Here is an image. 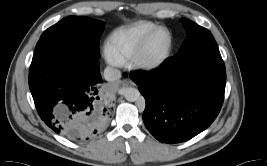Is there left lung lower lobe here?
I'll use <instances>...</instances> for the list:
<instances>
[{
	"label": "left lung lower lobe",
	"mask_w": 267,
	"mask_h": 166,
	"mask_svg": "<svg viewBox=\"0 0 267 166\" xmlns=\"http://www.w3.org/2000/svg\"><path fill=\"white\" fill-rule=\"evenodd\" d=\"M146 100L143 121L164 143L187 141L208 128L224 100L225 65L215 40L166 59L148 75L131 73Z\"/></svg>",
	"instance_id": "0a47b994"
}]
</instances>
